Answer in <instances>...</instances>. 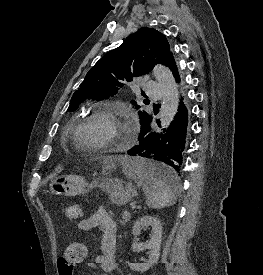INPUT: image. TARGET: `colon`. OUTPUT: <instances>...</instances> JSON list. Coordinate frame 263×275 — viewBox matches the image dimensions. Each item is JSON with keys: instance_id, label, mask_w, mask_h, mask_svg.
Wrapping results in <instances>:
<instances>
[{"instance_id": "5ec220e1", "label": "colon", "mask_w": 263, "mask_h": 275, "mask_svg": "<svg viewBox=\"0 0 263 275\" xmlns=\"http://www.w3.org/2000/svg\"><path fill=\"white\" fill-rule=\"evenodd\" d=\"M65 214L69 219H77L82 215V208L79 204H69L66 207ZM87 255L86 245L82 242H73L70 244L64 255L58 258V268L61 275H73L76 265L82 263Z\"/></svg>"}]
</instances>
